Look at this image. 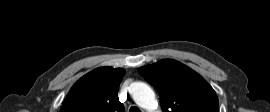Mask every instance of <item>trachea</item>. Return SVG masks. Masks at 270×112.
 <instances>
[{"mask_svg":"<svg viewBox=\"0 0 270 112\" xmlns=\"http://www.w3.org/2000/svg\"><path fill=\"white\" fill-rule=\"evenodd\" d=\"M130 112H141V111H140V109H139L138 107L132 106V107L130 108Z\"/></svg>","mask_w":270,"mask_h":112,"instance_id":"obj_1","label":"trachea"}]
</instances>
